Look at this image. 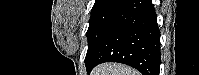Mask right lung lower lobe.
I'll return each instance as SVG.
<instances>
[{
	"mask_svg": "<svg viewBox=\"0 0 199 75\" xmlns=\"http://www.w3.org/2000/svg\"><path fill=\"white\" fill-rule=\"evenodd\" d=\"M156 17L151 0H128L92 52L87 72L103 62H119L143 75H159L160 30Z\"/></svg>",
	"mask_w": 199,
	"mask_h": 75,
	"instance_id": "1",
	"label": "right lung lower lobe"
}]
</instances>
